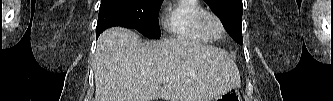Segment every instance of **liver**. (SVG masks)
<instances>
[{
	"instance_id": "obj_1",
	"label": "liver",
	"mask_w": 333,
	"mask_h": 101,
	"mask_svg": "<svg viewBox=\"0 0 333 101\" xmlns=\"http://www.w3.org/2000/svg\"><path fill=\"white\" fill-rule=\"evenodd\" d=\"M94 75V101H210L241 85L224 50L184 39L142 42L122 27L100 35Z\"/></svg>"
}]
</instances>
